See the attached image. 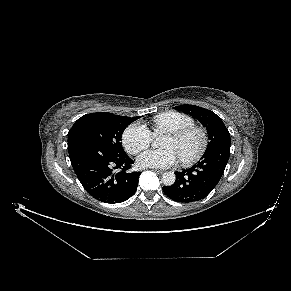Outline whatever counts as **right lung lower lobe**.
I'll return each instance as SVG.
<instances>
[{
  "label": "right lung lower lobe",
  "mask_w": 291,
  "mask_h": 291,
  "mask_svg": "<svg viewBox=\"0 0 291 291\" xmlns=\"http://www.w3.org/2000/svg\"><path fill=\"white\" fill-rule=\"evenodd\" d=\"M72 167L84 189L105 203H120L136 191L140 172H131L134 163L127 154L87 138L68 141Z\"/></svg>",
  "instance_id": "right-lung-lower-lobe-1"
}]
</instances>
